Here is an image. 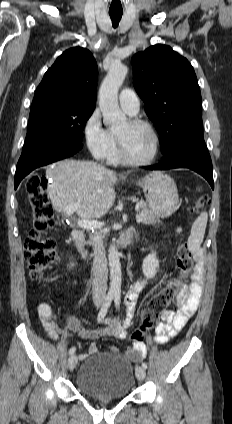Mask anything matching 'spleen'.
<instances>
[{
    "label": "spleen",
    "mask_w": 232,
    "mask_h": 424,
    "mask_svg": "<svg viewBox=\"0 0 232 424\" xmlns=\"http://www.w3.org/2000/svg\"><path fill=\"white\" fill-rule=\"evenodd\" d=\"M207 220L208 214L207 212H203L197 217L192 225L191 233L187 242L188 249L192 253H195L200 249L205 234Z\"/></svg>",
    "instance_id": "spleen-1"
}]
</instances>
